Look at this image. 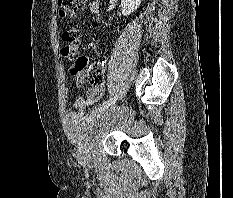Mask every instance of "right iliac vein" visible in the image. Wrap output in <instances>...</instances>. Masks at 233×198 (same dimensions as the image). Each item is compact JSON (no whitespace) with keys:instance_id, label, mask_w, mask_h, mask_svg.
<instances>
[{"instance_id":"63e3f726","label":"right iliac vein","mask_w":233,"mask_h":198,"mask_svg":"<svg viewBox=\"0 0 233 198\" xmlns=\"http://www.w3.org/2000/svg\"><path fill=\"white\" fill-rule=\"evenodd\" d=\"M115 109H116V105H112L109 108H107V110L109 111H114ZM103 110H106V109H103Z\"/></svg>"}]
</instances>
